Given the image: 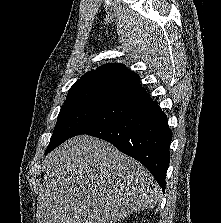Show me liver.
<instances>
[{
    "instance_id": "1",
    "label": "liver",
    "mask_w": 221,
    "mask_h": 223,
    "mask_svg": "<svg viewBox=\"0 0 221 223\" xmlns=\"http://www.w3.org/2000/svg\"><path fill=\"white\" fill-rule=\"evenodd\" d=\"M43 167L40 223H116L152 208L161 196L142 164L87 135L57 147Z\"/></svg>"
}]
</instances>
